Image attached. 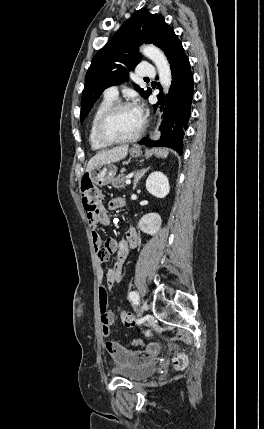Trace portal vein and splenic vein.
Wrapping results in <instances>:
<instances>
[{
	"instance_id": "18ae733b",
	"label": "portal vein and splenic vein",
	"mask_w": 264,
	"mask_h": 429,
	"mask_svg": "<svg viewBox=\"0 0 264 429\" xmlns=\"http://www.w3.org/2000/svg\"><path fill=\"white\" fill-rule=\"evenodd\" d=\"M130 183H131V179H130V178H127V179H126V184H127V185H129Z\"/></svg>"
}]
</instances>
